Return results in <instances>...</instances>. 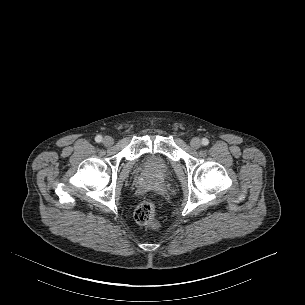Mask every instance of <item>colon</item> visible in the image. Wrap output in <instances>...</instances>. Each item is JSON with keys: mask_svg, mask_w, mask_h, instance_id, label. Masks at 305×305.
Returning <instances> with one entry per match:
<instances>
[{"mask_svg": "<svg viewBox=\"0 0 305 305\" xmlns=\"http://www.w3.org/2000/svg\"><path fill=\"white\" fill-rule=\"evenodd\" d=\"M134 218L139 224L151 229H157L160 225L155 203L151 199H145L138 204L134 212Z\"/></svg>", "mask_w": 305, "mask_h": 305, "instance_id": "1", "label": "colon"}]
</instances>
